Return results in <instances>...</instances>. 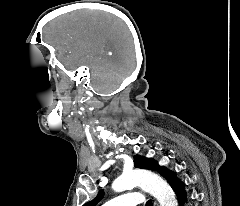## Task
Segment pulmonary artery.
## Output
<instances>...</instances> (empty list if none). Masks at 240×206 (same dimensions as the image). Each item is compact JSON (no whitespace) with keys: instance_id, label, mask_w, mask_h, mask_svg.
Wrapping results in <instances>:
<instances>
[{"instance_id":"1","label":"pulmonary artery","mask_w":240,"mask_h":206,"mask_svg":"<svg viewBox=\"0 0 240 206\" xmlns=\"http://www.w3.org/2000/svg\"><path fill=\"white\" fill-rule=\"evenodd\" d=\"M143 202V197L138 192H128L115 197L102 206H136Z\"/></svg>"}]
</instances>
